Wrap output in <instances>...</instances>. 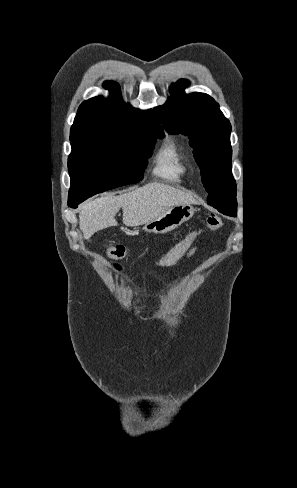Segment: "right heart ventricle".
I'll return each instance as SVG.
<instances>
[{
	"label": "right heart ventricle",
	"instance_id": "obj_1",
	"mask_svg": "<svg viewBox=\"0 0 297 488\" xmlns=\"http://www.w3.org/2000/svg\"><path fill=\"white\" fill-rule=\"evenodd\" d=\"M187 171V154L175 138L166 139L158 148L153 162V174L158 178L177 182Z\"/></svg>",
	"mask_w": 297,
	"mask_h": 488
}]
</instances>
